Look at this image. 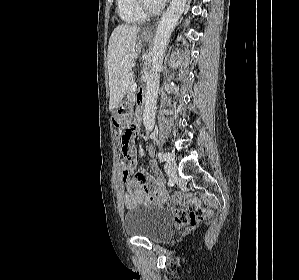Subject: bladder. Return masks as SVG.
Returning a JSON list of instances; mask_svg holds the SVG:
<instances>
[{"label":"bladder","instance_id":"31cf9c89","mask_svg":"<svg viewBox=\"0 0 299 280\" xmlns=\"http://www.w3.org/2000/svg\"><path fill=\"white\" fill-rule=\"evenodd\" d=\"M173 220L169 212L162 208H136L124 216V229L132 237L147 238L161 242L172 232Z\"/></svg>","mask_w":299,"mask_h":280}]
</instances>
